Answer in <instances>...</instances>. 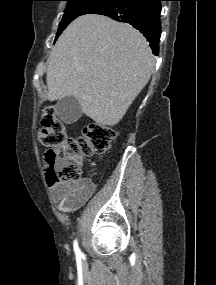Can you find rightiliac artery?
Masks as SVG:
<instances>
[{
  "label": "right iliac artery",
  "instance_id": "right-iliac-artery-1",
  "mask_svg": "<svg viewBox=\"0 0 216 285\" xmlns=\"http://www.w3.org/2000/svg\"><path fill=\"white\" fill-rule=\"evenodd\" d=\"M74 251L77 257H80L82 255L79 247H78V243L77 240L74 241Z\"/></svg>",
  "mask_w": 216,
  "mask_h": 285
}]
</instances>
